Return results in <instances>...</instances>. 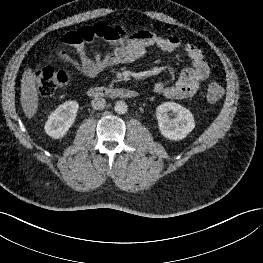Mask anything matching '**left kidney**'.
I'll use <instances>...</instances> for the list:
<instances>
[{
  "label": "left kidney",
  "instance_id": "obj_1",
  "mask_svg": "<svg viewBox=\"0 0 263 263\" xmlns=\"http://www.w3.org/2000/svg\"><path fill=\"white\" fill-rule=\"evenodd\" d=\"M170 111L175 114V118H170ZM156 116L161 134L173 141L185 138L195 127L193 114L174 102L160 104L156 109Z\"/></svg>",
  "mask_w": 263,
  "mask_h": 263
}]
</instances>
